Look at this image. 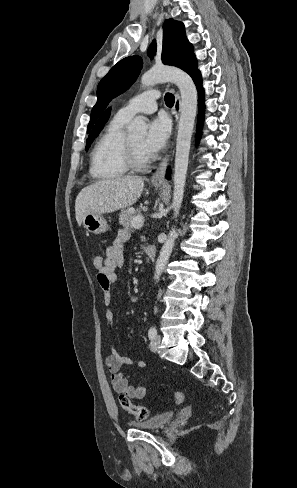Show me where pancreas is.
Wrapping results in <instances>:
<instances>
[{"mask_svg":"<svg viewBox=\"0 0 297 488\" xmlns=\"http://www.w3.org/2000/svg\"><path fill=\"white\" fill-rule=\"evenodd\" d=\"M136 217L134 210H122L119 214V223L125 227L126 229H133L134 225L132 224L133 219Z\"/></svg>","mask_w":297,"mask_h":488,"instance_id":"1","label":"pancreas"}]
</instances>
